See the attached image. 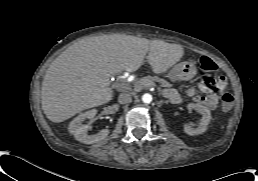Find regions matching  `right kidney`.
I'll return each mask as SVG.
<instances>
[{"instance_id":"obj_1","label":"right kidney","mask_w":258,"mask_h":181,"mask_svg":"<svg viewBox=\"0 0 258 181\" xmlns=\"http://www.w3.org/2000/svg\"><path fill=\"white\" fill-rule=\"evenodd\" d=\"M95 115H96V110H90V111H87V112L77 116L70 123L68 129H69L70 133L74 135L76 140H78L82 143H85V144H93V143H96L100 140L105 139L108 136V134H109L108 129H104V130H102L99 133L94 134V135H88L87 134L88 125L83 124V122L87 119L88 120H93Z\"/></svg>"}]
</instances>
